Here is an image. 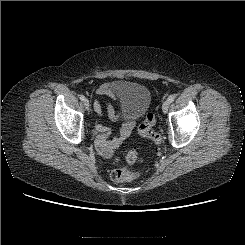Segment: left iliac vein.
Segmentation results:
<instances>
[{"label":"left iliac vein","mask_w":245,"mask_h":245,"mask_svg":"<svg viewBox=\"0 0 245 245\" xmlns=\"http://www.w3.org/2000/svg\"><path fill=\"white\" fill-rule=\"evenodd\" d=\"M169 106H170V102L168 100L163 102V105H162L163 113H167L168 112Z\"/></svg>","instance_id":"1"}]
</instances>
